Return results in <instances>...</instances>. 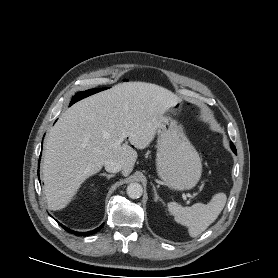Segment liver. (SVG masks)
<instances>
[{
    "label": "liver",
    "mask_w": 278,
    "mask_h": 278,
    "mask_svg": "<svg viewBox=\"0 0 278 278\" xmlns=\"http://www.w3.org/2000/svg\"><path fill=\"white\" fill-rule=\"evenodd\" d=\"M180 102L178 96L155 84L127 82L89 96L68 108L50 129L42 172L44 193L51 210L65 208L81 184L107 161L122 165L128 176L137 149L154 139L165 112Z\"/></svg>",
    "instance_id": "liver-1"
}]
</instances>
